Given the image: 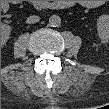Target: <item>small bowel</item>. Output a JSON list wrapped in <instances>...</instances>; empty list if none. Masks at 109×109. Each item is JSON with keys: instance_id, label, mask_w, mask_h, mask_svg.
<instances>
[{"instance_id": "small-bowel-1", "label": "small bowel", "mask_w": 109, "mask_h": 109, "mask_svg": "<svg viewBox=\"0 0 109 109\" xmlns=\"http://www.w3.org/2000/svg\"><path fill=\"white\" fill-rule=\"evenodd\" d=\"M87 6H89V7H94L95 4H93L92 2H88V3H87Z\"/></svg>"}]
</instances>
